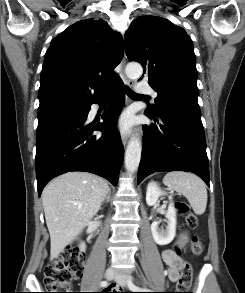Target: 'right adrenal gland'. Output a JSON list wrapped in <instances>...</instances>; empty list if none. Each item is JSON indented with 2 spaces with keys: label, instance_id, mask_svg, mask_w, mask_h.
<instances>
[{
  "label": "right adrenal gland",
  "instance_id": "right-adrenal-gland-1",
  "mask_svg": "<svg viewBox=\"0 0 245 293\" xmlns=\"http://www.w3.org/2000/svg\"><path fill=\"white\" fill-rule=\"evenodd\" d=\"M110 195H111V190H109V192H108L106 198L104 199L103 203H105V202H109V200H110Z\"/></svg>",
  "mask_w": 245,
  "mask_h": 293
}]
</instances>
